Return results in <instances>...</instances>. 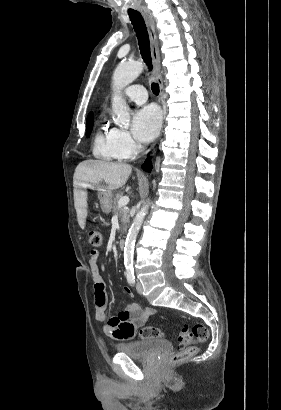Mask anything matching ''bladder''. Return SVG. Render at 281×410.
<instances>
[{
    "label": "bladder",
    "instance_id": "31cf9c89",
    "mask_svg": "<svg viewBox=\"0 0 281 410\" xmlns=\"http://www.w3.org/2000/svg\"><path fill=\"white\" fill-rule=\"evenodd\" d=\"M115 349L118 353L132 358L147 359L159 353L169 352L171 344L161 339H144L119 343Z\"/></svg>",
    "mask_w": 281,
    "mask_h": 410
}]
</instances>
